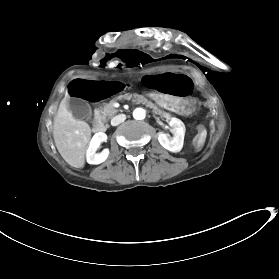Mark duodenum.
<instances>
[{
	"label": "duodenum",
	"mask_w": 279,
	"mask_h": 279,
	"mask_svg": "<svg viewBox=\"0 0 279 279\" xmlns=\"http://www.w3.org/2000/svg\"><path fill=\"white\" fill-rule=\"evenodd\" d=\"M146 97H151V92H146ZM97 119H98V126H93V131L95 133H99V132H102V131H105V119H104V114L102 112H99L97 114Z\"/></svg>",
	"instance_id": "duodenum-1"
}]
</instances>
